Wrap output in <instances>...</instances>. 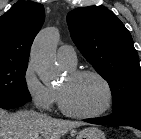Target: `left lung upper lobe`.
Here are the masks:
<instances>
[{
	"instance_id": "5c2ea615",
	"label": "left lung upper lobe",
	"mask_w": 141,
	"mask_h": 139,
	"mask_svg": "<svg viewBox=\"0 0 141 139\" xmlns=\"http://www.w3.org/2000/svg\"><path fill=\"white\" fill-rule=\"evenodd\" d=\"M67 23L75 45L109 83L113 114L141 107V67L123 23L100 6L72 10Z\"/></svg>"
}]
</instances>
